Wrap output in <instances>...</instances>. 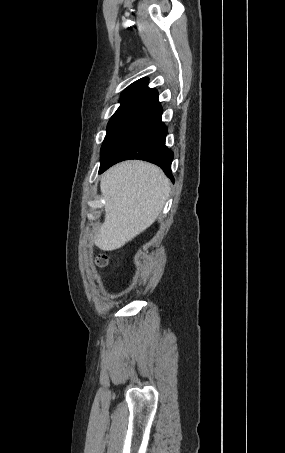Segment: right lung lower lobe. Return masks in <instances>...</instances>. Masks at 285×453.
Listing matches in <instances>:
<instances>
[{
    "label": "right lung lower lobe",
    "mask_w": 285,
    "mask_h": 453,
    "mask_svg": "<svg viewBox=\"0 0 285 453\" xmlns=\"http://www.w3.org/2000/svg\"><path fill=\"white\" fill-rule=\"evenodd\" d=\"M162 112L157 90L147 85L125 100L107 129L99 173L117 162L140 159L161 167L174 182V154L165 145L168 130L161 121Z\"/></svg>",
    "instance_id": "right-lung-lower-lobe-1"
}]
</instances>
